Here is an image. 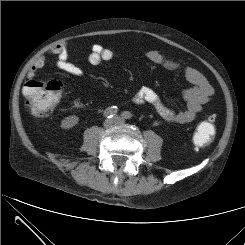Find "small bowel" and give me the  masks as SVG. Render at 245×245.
<instances>
[{"mask_svg":"<svg viewBox=\"0 0 245 245\" xmlns=\"http://www.w3.org/2000/svg\"><path fill=\"white\" fill-rule=\"evenodd\" d=\"M48 54L56 56V66L67 74L75 77H82L84 75L83 69L70 61L68 45L66 43L52 47ZM113 57L114 52L111 49L96 44L92 47L88 60L91 65L97 66L103 61L111 60ZM146 57L150 62L161 65L170 71L182 72L189 84L183 91L186 108L180 111L171 109L152 89L138 91L133 97V102L137 105L148 104L152 106L167 122L184 124L193 121L213 96L214 90L211 84L196 69L183 66L180 62L168 58L158 51H149ZM45 63V56L39 57L31 67L29 77L33 78L44 67Z\"/></svg>","mask_w":245,"mask_h":245,"instance_id":"1","label":"small bowel"}]
</instances>
